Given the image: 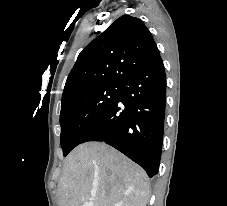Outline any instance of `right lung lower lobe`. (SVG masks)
Returning a JSON list of instances; mask_svg holds the SVG:
<instances>
[{"label": "right lung lower lobe", "mask_w": 227, "mask_h": 206, "mask_svg": "<svg viewBox=\"0 0 227 206\" xmlns=\"http://www.w3.org/2000/svg\"><path fill=\"white\" fill-rule=\"evenodd\" d=\"M166 77L161 57L127 76L117 100L82 143L104 141L147 172L158 173L163 141Z\"/></svg>", "instance_id": "1"}]
</instances>
